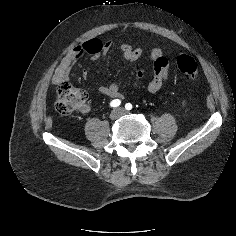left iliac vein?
<instances>
[{"label":"left iliac vein","mask_w":236,"mask_h":236,"mask_svg":"<svg viewBox=\"0 0 236 236\" xmlns=\"http://www.w3.org/2000/svg\"><path fill=\"white\" fill-rule=\"evenodd\" d=\"M120 111H121V115H126V114L129 113L128 111H126V110H124V109H120Z\"/></svg>","instance_id":"left-iliac-vein-1"}]
</instances>
